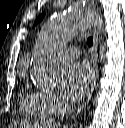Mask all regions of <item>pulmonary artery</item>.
<instances>
[{"label": "pulmonary artery", "instance_id": "pulmonary-artery-1", "mask_svg": "<svg viewBox=\"0 0 125 128\" xmlns=\"http://www.w3.org/2000/svg\"><path fill=\"white\" fill-rule=\"evenodd\" d=\"M55 56L58 59L65 61L73 60L79 56V49L76 47H69V48L57 47L55 49Z\"/></svg>", "mask_w": 125, "mask_h": 128}]
</instances>
